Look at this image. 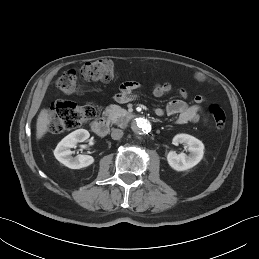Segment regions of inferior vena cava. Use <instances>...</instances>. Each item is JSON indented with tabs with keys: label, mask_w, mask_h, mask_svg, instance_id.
<instances>
[{
	"label": "inferior vena cava",
	"mask_w": 259,
	"mask_h": 259,
	"mask_svg": "<svg viewBox=\"0 0 259 259\" xmlns=\"http://www.w3.org/2000/svg\"><path fill=\"white\" fill-rule=\"evenodd\" d=\"M123 136V131L120 129H112L111 137L114 140H119Z\"/></svg>",
	"instance_id": "obj_1"
}]
</instances>
